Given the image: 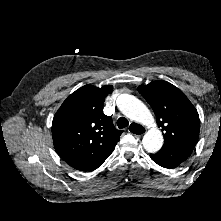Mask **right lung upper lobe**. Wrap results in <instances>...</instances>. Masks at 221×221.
<instances>
[{"label": "right lung upper lobe", "instance_id": "right-lung-upper-lobe-1", "mask_svg": "<svg viewBox=\"0 0 221 221\" xmlns=\"http://www.w3.org/2000/svg\"><path fill=\"white\" fill-rule=\"evenodd\" d=\"M111 85H85L63 102L52 122L54 148L71 167L105 160L122 134L103 113Z\"/></svg>", "mask_w": 221, "mask_h": 221}]
</instances>
